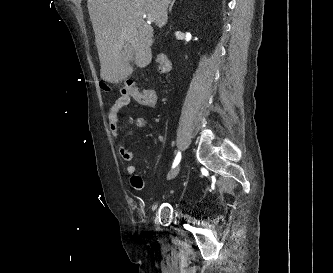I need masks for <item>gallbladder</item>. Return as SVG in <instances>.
<instances>
[{
	"label": "gallbladder",
	"instance_id": "obj_1",
	"mask_svg": "<svg viewBox=\"0 0 333 273\" xmlns=\"http://www.w3.org/2000/svg\"><path fill=\"white\" fill-rule=\"evenodd\" d=\"M126 56L128 57L127 61L125 62L127 64V63H130L133 59V51L128 49L126 51Z\"/></svg>",
	"mask_w": 333,
	"mask_h": 273
}]
</instances>
